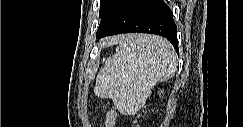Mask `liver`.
Segmentation results:
<instances>
[{
    "mask_svg": "<svg viewBox=\"0 0 243 127\" xmlns=\"http://www.w3.org/2000/svg\"><path fill=\"white\" fill-rule=\"evenodd\" d=\"M123 38V36H120V37H118V38H116L117 40H119V39H122Z\"/></svg>",
    "mask_w": 243,
    "mask_h": 127,
    "instance_id": "6515ba94",
    "label": "liver"
}]
</instances>
